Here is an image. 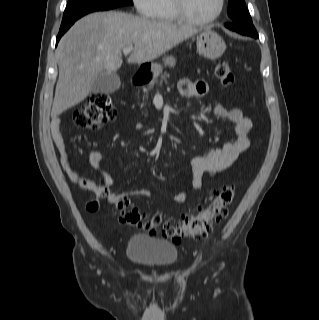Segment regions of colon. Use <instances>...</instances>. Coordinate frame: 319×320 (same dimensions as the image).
<instances>
[{
  "label": "colon",
  "mask_w": 319,
  "mask_h": 320,
  "mask_svg": "<svg viewBox=\"0 0 319 320\" xmlns=\"http://www.w3.org/2000/svg\"><path fill=\"white\" fill-rule=\"evenodd\" d=\"M214 75L223 86L230 87L236 83V77L225 60L216 64ZM116 116L117 110L112 104L111 97L108 94L99 93L92 95L89 101L74 114V123L78 127L97 129L114 121ZM234 196V186H224L209 198L205 206L195 214L183 217L178 224H172L161 214L148 215L136 209L127 210L131 203L125 197L118 201L117 208L122 211V221L125 224L149 233L161 232L174 241H180L187 237H207L227 216ZM86 208L89 211H95L98 209V203L89 202Z\"/></svg>",
  "instance_id": "obj_1"
}]
</instances>
